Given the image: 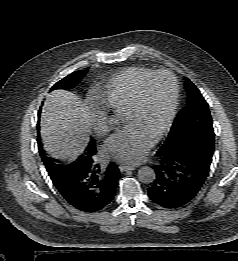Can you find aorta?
<instances>
[{
  "mask_svg": "<svg viewBox=\"0 0 238 261\" xmlns=\"http://www.w3.org/2000/svg\"><path fill=\"white\" fill-rule=\"evenodd\" d=\"M155 178V171L149 166H143L138 170V179L142 183H152L155 180Z\"/></svg>",
  "mask_w": 238,
  "mask_h": 261,
  "instance_id": "1",
  "label": "aorta"
}]
</instances>
